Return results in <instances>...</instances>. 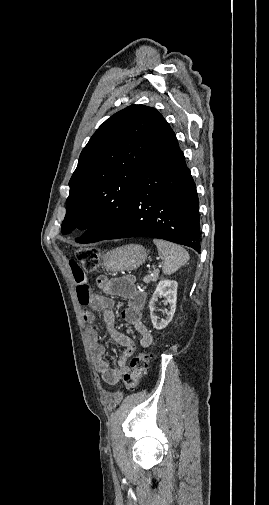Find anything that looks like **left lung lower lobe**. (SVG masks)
<instances>
[{"label":"left lung lower lobe","mask_w":269,"mask_h":505,"mask_svg":"<svg viewBox=\"0 0 269 505\" xmlns=\"http://www.w3.org/2000/svg\"><path fill=\"white\" fill-rule=\"evenodd\" d=\"M139 236L165 239L200 253L196 186L165 120L131 193L125 217L104 239Z\"/></svg>","instance_id":"1"}]
</instances>
